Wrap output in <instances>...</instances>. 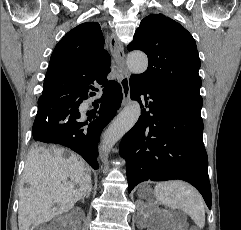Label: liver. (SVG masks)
<instances>
[{
    "label": "liver",
    "mask_w": 241,
    "mask_h": 230,
    "mask_svg": "<svg viewBox=\"0 0 241 230\" xmlns=\"http://www.w3.org/2000/svg\"><path fill=\"white\" fill-rule=\"evenodd\" d=\"M25 183L28 188L23 187ZM90 185V169L74 153L63 148L34 146L27 155L21 180L19 230H30L32 224L47 222L69 211Z\"/></svg>",
    "instance_id": "1"
}]
</instances>
